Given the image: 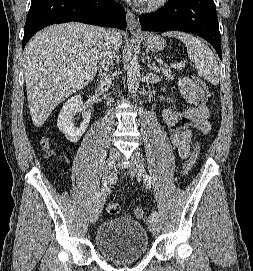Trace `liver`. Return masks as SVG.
<instances>
[{"instance_id":"1","label":"liver","mask_w":253,"mask_h":271,"mask_svg":"<svg viewBox=\"0 0 253 271\" xmlns=\"http://www.w3.org/2000/svg\"><path fill=\"white\" fill-rule=\"evenodd\" d=\"M111 32L114 50L122 45ZM103 29L83 23H63L35 34L24 49V77L33 124L41 127L51 112L94 78L102 48Z\"/></svg>"}]
</instances>
